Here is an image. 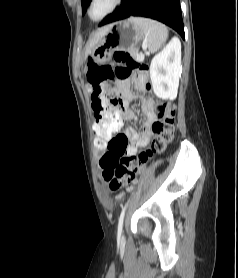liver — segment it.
Segmentation results:
<instances>
[{
  "mask_svg": "<svg viewBox=\"0 0 238 278\" xmlns=\"http://www.w3.org/2000/svg\"><path fill=\"white\" fill-rule=\"evenodd\" d=\"M109 26L103 27L101 28L92 38V40L90 41L89 45L86 48V52H85V56H87L91 50L93 49V47L95 46V44L100 40V38H102Z\"/></svg>",
  "mask_w": 238,
  "mask_h": 278,
  "instance_id": "1",
  "label": "liver"
}]
</instances>
